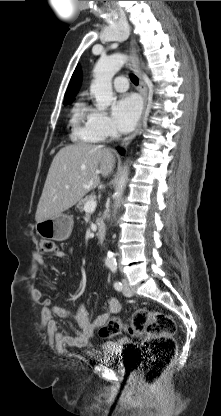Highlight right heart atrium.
<instances>
[{
  "instance_id": "d8ad5b80",
  "label": "right heart atrium",
  "mask_w": 221,
  "mask_h": 416,
  "mask_svg": "<svg viewBox=\"0 0 221 416\" xmlns=\"http://www.w3.org/2000/svg\"><path fill=\"white\" fill-rule=\"evenodd\" d=\"M85 129L96 141L117 136L113 120L105 112L96 108H88Z\"/></svg>"
}]
</instances>
